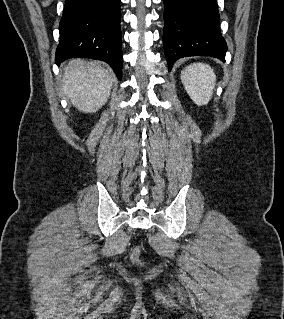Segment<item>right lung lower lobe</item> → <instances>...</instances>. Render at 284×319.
<instances>
[{"label":"right lung lower lobe","mask_w":284,"mask_h":319,"mask_svg":"<svg viewBox=\"0 0 284 319\" xmlns=\"http://www.w3.org/2000/svg\"><path fill=\"white\" fill-rule=\"evenodd\" d=\"M121 0H65L55 62L85 57L108 63L122 78Z\"/></svg>","instance_id":"1"}]
</instances>
